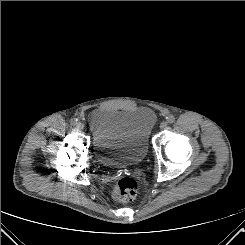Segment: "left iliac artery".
Wrapping results in <instances>:
<instances>
[{
	"mask_svg": "<svg viewBox=\"0 0 245 245\" xmlns=\"http://www.w3.org/2000/svg\"><path fill=\"white\" fill-rule=\"evenodd\" d=\"M168 123H173L175 121V117L173 115H169L166 117Z\"/></svg>",
	"mask_w": 245,
	"mask_h": 245,
	"instance_id": "1",
	"label": "left iliac artery"
}]
</instances>
